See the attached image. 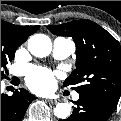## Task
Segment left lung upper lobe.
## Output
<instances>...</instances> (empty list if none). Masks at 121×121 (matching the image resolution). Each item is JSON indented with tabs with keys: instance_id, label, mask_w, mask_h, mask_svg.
Here are the masks:
<instances>
[{
	"instance_id": "5c2ea615",
	"label": "left lung upper lobe",
	"mask_w": 121,
	"mask_h": 121,
	"mask_svg": "<svg viewBox=\"0 0 121 121\" xmlns=\"http://www.w3.org/2000/svg\"><path fill=\"white\" fill-rule=\"evenodd\" d=\"M55 35L71 36L76 44V69L64 86L95 96L116 108L121 95V47L105 29L90 20L48 26Z\"/></svg>"
}]
</instances>
